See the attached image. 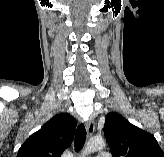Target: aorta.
<instances>
[{
    "instance_id": "1",
    "label": "aorta",
    "mask_w": 164,
    "mask_h": 157,
    "mask_svg": "<svg viewBox=\"0 0 164 157\" xmlns=\"http://www.w3.org/2000/svg\"><path fill=\"white\" fill-rule=\"evenodd\" d=\"M105 148V142L101 139H92L90 140L86 147L83 150V155H88L92 152L102 150Z\"/></svg>"
}]
</instances>
